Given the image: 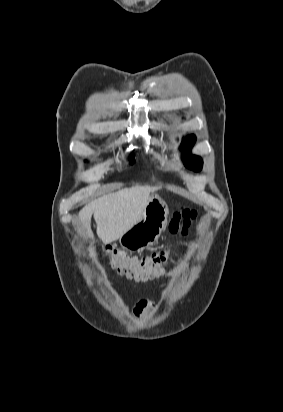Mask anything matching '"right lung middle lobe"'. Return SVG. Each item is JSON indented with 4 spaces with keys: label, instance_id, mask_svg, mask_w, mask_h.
<instances>
[{
    "label": "right lung middle lobe",
    "instance_id": "dd1d6c3e",
    "mask_svg": "<svg viewBox=\"0 0 283 412\" xmlns=\"http://www.w3.org/2000/svg\"><path fill=\"white\" fill-rule=\"evenodd\" d=\"M134 162V158H133V155H132V157H131V163H133Z\"/></svg>",
    "mask_w": 283,
    "mask_h": 412
}]
</instances>
